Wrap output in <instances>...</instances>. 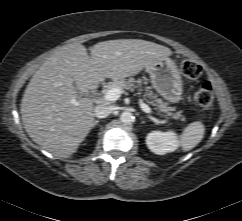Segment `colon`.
<instances>
[{"label":"colon","mask_w":242,"mask_h":221,"mask_svg":"<svg viewBox=\"0 0 242 221\" xmlns=\"http://www.w3.org/2000/svg\"><path fill=\"white\" fill-rule=\"evenodd\" d=\"M182 73L190 79L198 78L202 73L201 66L193 60H184L181 63ZM194 100L202 108H208L214 100L213 88L209 82H204L195 92Z\"/></svg>","instance_id":"obj_1"}]
</instances>
